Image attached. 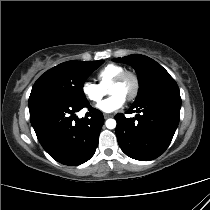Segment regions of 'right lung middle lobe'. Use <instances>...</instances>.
Here are the masks:
<instances>
[{
	"mask_svg": "<svg viewBox=\"0 0 210 210\" xmlns=\"http://www.w3.org/2000/svg\"><path fill=\"white\" fill-rule=\"evenodd\" d=\"M102 63L103 60L68 61L53 67L33 85L29 106L50 99L86 102L83 92L84 82Z\"/></svg>",
	"mask_w": 210,
	"mask_h": 210,
	"instance_id": "1",
	"label": "right lung middle lobe"
}]
</instances>
